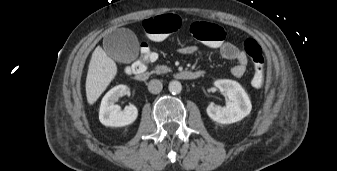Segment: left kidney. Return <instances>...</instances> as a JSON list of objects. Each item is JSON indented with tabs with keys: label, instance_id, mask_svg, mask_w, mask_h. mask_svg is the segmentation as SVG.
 <instances>
[{
	"label": "left kidney",
	"instance_id": "1",
	"mask_svg": "<svg viewBox=\"0 0 337 171\" xmlns=\"http://www.w3.org/2000/svg\"><path fill=\"white\" fill-rule=\"evenodd\" d=\"M214 85L229 99L225 107L210 104L207 107L208 116L221 124H231L242 120L250 114L251 101L242 86L233 80L215 81Z\"/></svg>",
	"mask_w": 337,
	"mask_h": 171
}]
</instances>
